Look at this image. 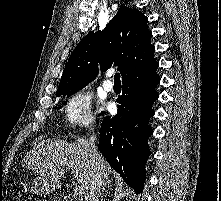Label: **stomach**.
I'll return each instance as SVG.
<instances>
[{
    "label": "stomach",
    "instance_id": "stomach-1",
    "mask_svg": "<svg viewBox=\"0 0 221 201\" xmlns=\"http://www.w3.org/2000/svg\"><path fill=\"white\" fill-rule=\"evenodd\" d=\"M55 189V185L48 179L37 176L33 179L31 191L36 195L48 194Z\"/></svg>",
    "mask_w": 221,
    "mask_h": 201
}]
</instances>
